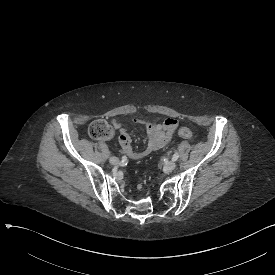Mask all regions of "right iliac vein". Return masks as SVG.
I'll return each mask as SVG.
<instances>
[{
	"label": "right iliac vein",
	"instance_id": "obj_1",
	"mask_svg": "<svg viewBox=\"0 0 275 275\" xmlns=\"http://www.w3.org/2000/svg\"><path fill=\"white\" fill-rule=\"evenodd\" d=\"M110 163L113 165H117L119 163V159L117 157H111Z\"/></svg>",
	"mask_w": 275,
	"mask_h": 275
}]
</instances>
